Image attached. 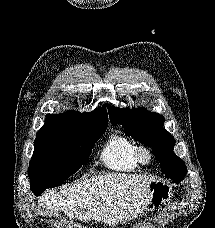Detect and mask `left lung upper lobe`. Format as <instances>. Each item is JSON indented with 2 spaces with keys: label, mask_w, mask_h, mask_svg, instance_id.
I'll return each instance as SVG.
<instances>
[{
  "label": "left lung upper lobe",
  "mask_w": 215,
  "mask_h": 228,
  "mask_svg": "<svg viewBox=\"0 0 215 228\" xmlns=\"http://www.w3.org/2000/svg\"><path fill=\"white\" fill-rule=\"evenodd\" d=\"M111 123L116 126L121 124L124 133L132 136L140 143L152 148L155 158L160 161L162 172L166 178L174 183H179L186 175L187 169L184 162L173 153L174 137L163 128L164 117L146 111L142 108L120 109L108 105Z\"/></svg>",
  "instance_id": "left-lung-upper-lobe-1"
}]
</instances>
